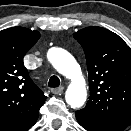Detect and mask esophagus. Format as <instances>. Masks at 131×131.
<instances>
[{"label":"esophagus","mask_w":131,"mask_h":131,"mask_svg":"<svg viewBox=\"0 0 131 131\" xmlns=\"http://www.w3.org/2000/svg\"><path fill=\"white\" fill-rule=\"evenodd\" d=\"M63 90H64V87H63V86H60V87H58V88H52V89H51V92H52L53 94H61V93L63 92Z\"/></svg>","instance_id":"obj_1"}]
</instances>
